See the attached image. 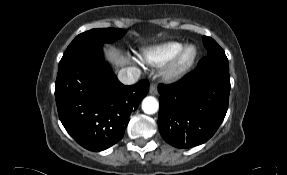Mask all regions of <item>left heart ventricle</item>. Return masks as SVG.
<instances>
[{
  "label": "left heart ventricle",
  "mask_w": 287,
  "mask_h": 175,
  "mask_svg": "<svg viewBox=\"0 0 287 175\" xmlns=\"http://www.w3.org/2000/svg\"><path fill=\"white\" fill-rule=\"evenodd\" d=\"M189 55H190V52H189V51H188V52H186V53L184 54L183 59H184V60H186V59L189 57Z\"/></svg>",
  "instance_id": "1"
}]
</instances>
